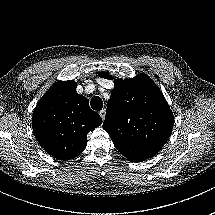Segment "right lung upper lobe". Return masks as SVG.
<instances>
[{
  "instance_id": "cb5924a9",
  "label": "right lung upper lobe",
  "mask_w": 215,
  "mask_h": 215,
  "mask_svg": "<svg viewBox=\"0 0 215 215\" xmlns=\"http://www.w3.org/2000/svg\"><path fill=\"white\" fill-rule=\"evenodd\" d=\"M76 87L74 81H57L43 95L32 116L37 141L60 160L78 156L86 148L87 134L102 123Z\"/></svg>"
}]
</instances>
